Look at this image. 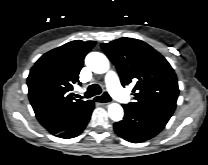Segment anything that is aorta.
Listing matches in <instances>:
<instances>
[{
    "instance_id": "1",
    "label": "aorta",
    "mask_w": 208,
    "mask_h": 165,
    "mask_svg": "<svg viewBox=\"0 0 208 165\" xmlns=\"http://www.w3.org/2000/svg\"><path fill=\"white\" fill-rule=\"evenodd\" d=\"M85 64L97 74L106 73L110 67L107 57L99 52L89 53L85 58ZM108 114L113 121H120L123 118L124 111L120 104L112 103L108 107Z\"/></svg>"
}]
</instances>
